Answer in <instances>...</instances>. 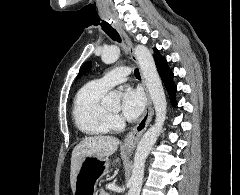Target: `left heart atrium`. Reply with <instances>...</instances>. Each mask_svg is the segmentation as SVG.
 Listing matches in <instances>:
<instances>
[{
  "instance_id": "obj_1",
  "label": "left heart atrium",
  "mask_w": 240,
  "mask_h": 195,
  "mask_svg": "<svg viewBox=\"0 0 240 195\" xmlns=\"http://www.w3.org/2000/svg\"><path fill=\"white\" fill-rule=\"evenodd\" d=\"M145 107V97L142 91L128 88L122 98V113L125 118L136 120Z\"/></svg>"
}]
</instances>
